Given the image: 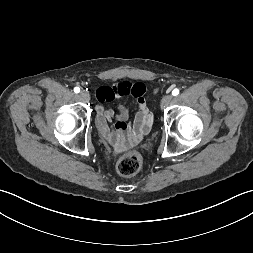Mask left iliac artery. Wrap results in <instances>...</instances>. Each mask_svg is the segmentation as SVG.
I'll return each mask as SVG.
<instances>
[{"label":"left iliac artery","instance_id":"left-iliac-artery-1","mask_svg":"<svg viewBox=\"0 0 253 253\" xmlns=\"http://www.w3.org/2000/svg\"><path fill=\"white\" fill-rule=\"evenodd\" d=\"M179 94V89H174L173 91H172V95L173 96H176V95H178Z\"/></svg>","mask_w":253,"mask_h":253}]
</instances>
